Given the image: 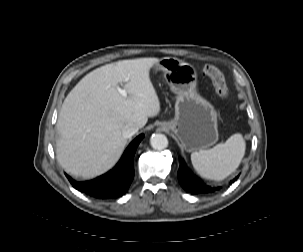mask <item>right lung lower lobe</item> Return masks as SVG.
Here are the masks:
<instances>
[{
  "label": "right lung lower lobe",
  "instance_id": "98d812e1",
  "mask_svg": "<svg viewBox=\"0 0 303 252\" xmlns=\"http://www.w3.org/2000/svg\"><path fill=\"white\" fill-rule=\"evenodd\" d=\"M144 135H139L127 147L119 163L108 173L85 182H76L68 175L67 178L72 186L92 197L100 199H109L122 196L127 192L133 177V157L136 152L137 146L143 139Z\"/></svg>",
  "mask_w": 303,
  "mask_h": 252
}]
</instances>
